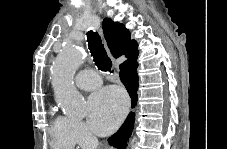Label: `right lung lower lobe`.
<instances>
[{
	"mask_svg": "<svg viewBox=\"0 0 227 149\" xmlns=\"http://www.w3.org/2000/svg\"><path fill=\"white\" fill-rule=\"evenodd\" d=\"M137 60V59H136ZM136 60L129 61L120 66V79L125 85L131 99L132 108L137 103V89H138V74H137V62ZM135 114L130 112L126 118L124 124L120 129L108 139V143L118 149H125L126 142L131 136L134 127Z\"/></svg>",
	"mask_w": 227,
	"mask_h": 149,
	"instance_id": "right-lung-lower-lobe-1",
	"label": "right lung lower lobe"
}]
</instances>
